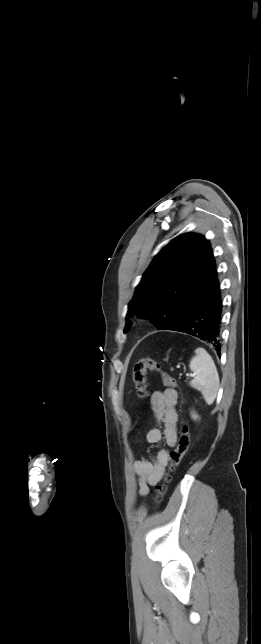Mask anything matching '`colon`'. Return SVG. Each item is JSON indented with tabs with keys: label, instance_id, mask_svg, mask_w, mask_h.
<instances>
[{
	"label": "colon",
	"instance_id": "obj_1",
	"mask_svg": "<svg viewBox=\"0 0 261 644\" xmlns=\"http://www.w3.org/2000/svg\"><path fill=\"white\" fill-rule=\"evenodd\" d=\"M148 372H158L161 375L162 382L164 385L169 387H176L177 382L174 377L164 372L159 364V362L152 357H144L137 360L132 367V378L135 384L138 396L140 398H145L148 396V385L146 375ZM190 444V434L188 427L184 425L181 430V435L178 441L176 448L169 455V471L174 470L182 461L185 456ZM170 473H166L164 476V483L156 486V503L160 502L162 496L165 493L166 485L165 483L170 481Z\"/></svg>",
	"mask_w": 261,
	"mask_h": 644
}]
</instances>
